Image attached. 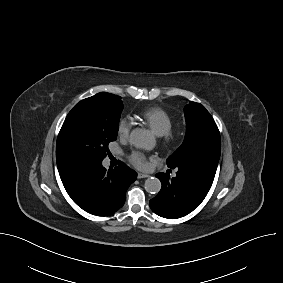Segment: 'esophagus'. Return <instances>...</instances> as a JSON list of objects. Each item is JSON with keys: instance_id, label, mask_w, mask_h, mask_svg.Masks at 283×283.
I'll return each mask as SVG.
<instances>
[{"instance_id": "1", "label": "esophagus", "mask_w": 283, "mask_h": 283, "mask_svg": "<svg viewBox=\"0 0 283 283\" xmlns=\"http://www.w3.org/2000/svg\"><path fill=\"white\" fill-rule=\"evenodd\" d=\"M137 177H138V179H142V178H148L149 175L148 174H144V173H138Z\"/></svg>"}]
</instances>
